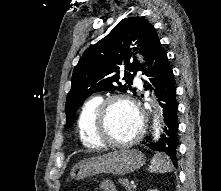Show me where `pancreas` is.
<instances>
[{
	"instance_id": "pancreas-1",
	"label": "pancreas",
	"mask_w": 221,
	"mask_h": 191,
	"mask_svg": "<svg viewBox=\"0 0 221 191\" xmlns=\"http://www.w3.org/2000/svg\"><path fill=\"white\" fill-rule=\"evenodd\" d=\"M119 183L127 190L132 191L133 186L130 184V182L127 179H119Z\"/></svg>"
}]
</instances>
